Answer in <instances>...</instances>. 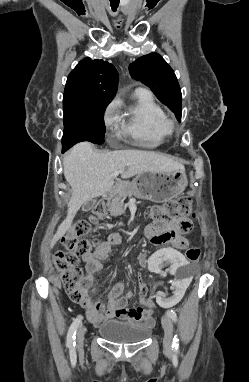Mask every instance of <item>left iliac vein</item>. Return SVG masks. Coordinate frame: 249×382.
I'll return each instance as SVG.
<instances>
[{
  "label": "left iliac vein",
  "mask_w": 249,
  "mask_h": 382,
  "mask_svg": "<svg viewBox=\"0 0 249 382\" xmlns=\"http://www.w3.org/2000/svg\"><path fill=\"white\" fill-rule=\"evenodd\" d=\"M162 326L164 329L163 346L166 352H170L173 343V323L168 316L162 317Z\"/></svg>",
  "instance_id": "4c4485c4"
}]
</instances>
